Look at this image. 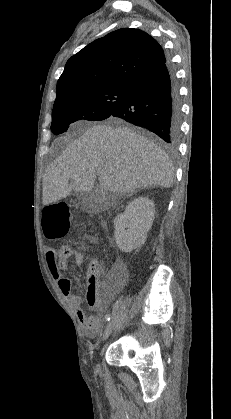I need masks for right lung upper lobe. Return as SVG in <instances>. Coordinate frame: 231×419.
I'll return each mask as SVG.
<instances>
[{
    "instance_id": "cb5924a9",
    "label": "right lung upper lobe",
    "mask_w": 231,
    "mask_h": 419,
    "mask_svg": "<svg viewBox=\"0 0 231 419\" xmlns=\"http://www.w3.org/2000/svg\"><path fill=\"white\" fill-rule=\"evenodd\" d=\"M164 62L162 47L149 34L119 29L90 43L67 61L57 82L55 102L100 88L129 89Z\"/></svg>"
}]
</instances>
